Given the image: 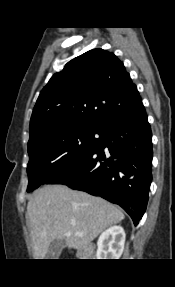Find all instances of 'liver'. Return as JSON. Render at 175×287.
Masks as SVG:
<instances>
[{"label": "liver", "instance_id": "liver-1", "mask_svg": "<svg viewBox=\"0 0 175 287\" xmlns=\"http://www.w3.org/2000/svg\"><path fill=\"white\" fill-rule=\"evenodd\" d=\"M34 259H44L54 240L82 250L103 230L124 219L123 212L106 200L64 185L38 189L27 205Z\"/></svg>", "mask_w": 175, "mask_h": 287}]
</instances>
